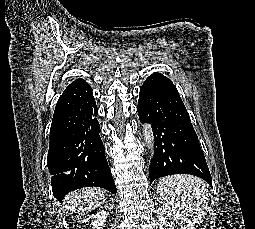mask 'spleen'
I'll return each mask as SVG.
<instances>
[{
  "label": "spleen",
  "mask_w": 255,
  "mask_h": 229,
  "mask_svg": "<svg viewBox=\"0 0 255 229\" xmlns=\"http://www.w3.org/2000/svg\"><path fill=\"white\" fill-rule=\"evenodd\" d=\"M157 193L166 204L186 213L195 223L206 215L209 196L206 183L195 176L176 174L161 179Z\"/></svg>",
  "instance_id": "3e777b00"
}]
</instances>
